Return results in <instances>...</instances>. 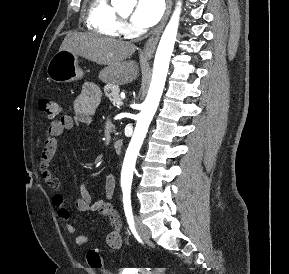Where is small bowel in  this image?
<instances>
[{"label": "small bowel", "instance_id": "obj_1", "mask_svg": "<svg viewBox=\"0 0 289 274\" xmlns=\"http://www.w3.org/2000/svg\"><path fill=\"white\" fill-rule=\"evenodd\" d=\"M100 99L101 92L99 87L94 83H86L74 100V116L63 115L50 123L41 153L40 168L42 177L54 192L52 204L57 210L60 220L66 223V230L69 234H75L76 228L70 222V212L66 206V193L58 177L53 174L51 164L58 149L59 137L65 131L72 129L75 123H91ZM115 186V177L109 173L105 178L104 199L93 201L88 185L83 183L80 187V197L75 201L78 211H98L108 221L109 231L106 235V243L111 251L119 250L123 242L122 223L110 201L115 191ZM88 242L89 237L86 235H77L75 237V243L78 246H84Z\"/></svg>", "mask_w": 289, "mask_h": 274}]
</instances>
